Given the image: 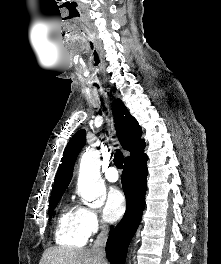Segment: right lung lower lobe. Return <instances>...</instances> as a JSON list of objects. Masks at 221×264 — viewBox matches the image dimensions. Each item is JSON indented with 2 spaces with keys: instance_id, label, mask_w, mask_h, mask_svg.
<instances>
[{
  "instance_id": "obj_1",
  "label": "right lung lower lobe",
  "mask_w": 221,
  "mask_h": 264,
  "mask_svg": "<svg viewBox=\"0 0 221 264\" xmlns=\"http://www.w3.org/2000/svg\"><path fill=\"white\" fill-rule=\"evenodd\" d=\"M147 157L127 161L121 177L126 197V212L119 224L112 229L106 255L111 264H124L129 243L136 232L145 208Z\"/></svg>"
}]
</instances>
